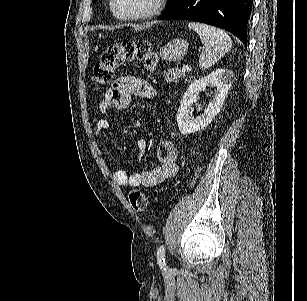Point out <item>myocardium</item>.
Listing matches in <instances>:
<instances>
[{
	"mask_svg": "<svg viewBox=\"0 0 307 301\" xmlns=\"http://www.w3.org/2000/svg\"><path fill=\"white\" fill-rule=\"evenodd\" d=\"M164 0H153L148 11H133L132 8H124L122 13H119L120 5L117 0L110 1L108 12L116 16L117 22H138L139 18H152L155 17L162 6Z\"/></svg>",
	"mask_w": 307,
	"mask_h": 301,
	"instance_id": "obj_1",
	"label": "myocardium"
}]
</instances>
